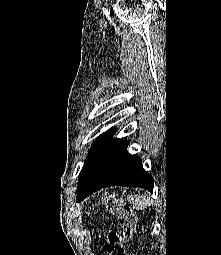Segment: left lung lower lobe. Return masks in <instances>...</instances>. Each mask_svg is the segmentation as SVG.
<instances>
[{
  "instance_id": "1",
  "label": "left lung lower lobe",
  "mask_w": 221,
  "mask_h": 255,
  "mask_svg": "<svg viewBox=\"0 0 221 255\" xmlns=\"http://www.w3.org/2000/svg\"><path fill=\"white\" fill-rule=\"evenodd\" d=\"M114 129L84 166L77 187V200L108 186L143 187L153 191V178L142 167L141 158L128 154V141L113 139Z\"/></svg>"
}]
</instances>
